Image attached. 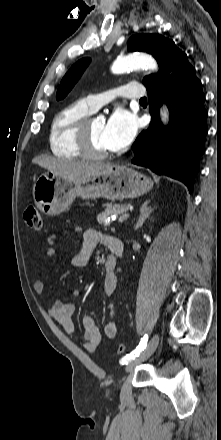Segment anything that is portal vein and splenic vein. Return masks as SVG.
<instances>
[{
  "label": "portal vein and splenic vein",
  "mask_w": 221,
  "mask_h": 440,
  "mask_svg": "<svg viewBox=\"0 0 221 440\" xmlns=\"http://www.w3.org/2000/svg\"><path fill=\"white\" fill-rule=\"evenodd\" d=\"M129 217V213H124L122 216L119 217L118 221L123 222Z\"/></svg>",
  "instance_id": "obj_1"
}]
</instances>
